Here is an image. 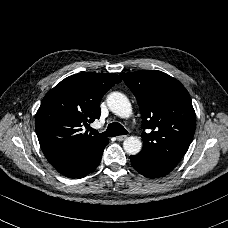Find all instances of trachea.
<instances>
[{"label":"trachea","instance_id":"obj_1","mask_svg":"<svg viewBox=\"0 0 228 228\" xmlns=\"http://www.w3.org/2000/svg\"><path fill=\"white\" fill-rule=\"evenodd\" d=\"M89 131L93 135H101V136H107V137L121 136V135H126L128 133L124 128V126L118 122H113L109 124L107 127V130L101 134H99V132L97 130H94L93 128H90Z\"/></svg>","mask_w":228,"mask_h":228}]
</instances>
